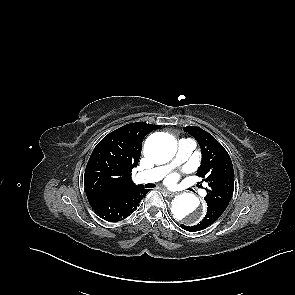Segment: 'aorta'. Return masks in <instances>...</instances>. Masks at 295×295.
I'll use <instances>...</instances> for the list:
<instances>
[{
  "instance_id": "aorta-1",
  "label": "aorta",
  "mask_w": 295,
  "mask_h": 295,
  "mask_svg": "<svg viewBox=\"0 0 295 295\" xmlns=\"http://www.w3.org/2000/svg\"><path fill=\"white\" fill-rule=\"evenodd\" d=\"M176 150L174 138L163 132L150 135L144 144L145 156L157 164L170 161ZM199 204L200 201L194 194L183 193L173 199L171 212L176 220L195 225L202 220V214L197 212Z\"/></svg>"
}]
</instances>
